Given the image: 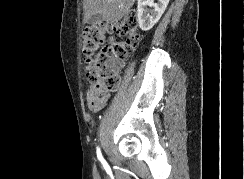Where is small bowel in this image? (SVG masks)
Here are the masks:
<instances>
[{"instance_id":"c3829d8e","label":"small bowel","mask_w":244,"mask_h":179,"mask_svg":"<svg viewBox=\"0 0 244 179\" xmlns=\"http://www.w3.org/2000/svg\"><path fill=\"white\" fill-rule=\"evenodd\" d=\"M86 102L93 112L101 111L110 101L111 94L101 87V89H90L86 91Z\"/></svg>"}]
</instances>
